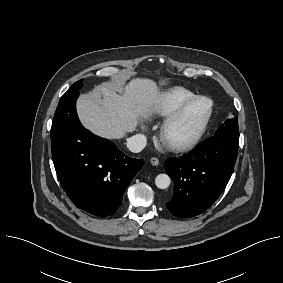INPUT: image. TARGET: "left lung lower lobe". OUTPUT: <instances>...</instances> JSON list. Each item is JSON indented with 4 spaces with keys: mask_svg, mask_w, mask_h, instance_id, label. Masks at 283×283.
Segmentation results:
<instances>
[{
    "mask_svg": "<svg viewBox=\"0 0 283 283\" xmlns=\"http://www.w3.org/2000/svg\"><path fill=\"white\" fill-rule=\"evenodd\" d=\"M239 144L213 136L180 160H168L165 170L174 182V193L166 203L181 218L194 217L207 210L228 183Z\"/></svg>",
    "mask_w": 283,
    "mask_h": 283,
    "instance_id": "1",
    "label": "left lung lower lobe"
}]
</instances>
